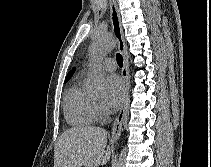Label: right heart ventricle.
Masks as SVG:
<instances>
[{"instance_id": "right-heart-ventricle-1", "label": "right heart ventricle", "mask_w": 211, "mask_h": 167, "mask_svg": "<svg viewBox=\"0 0 211 167\" xmlns=\"http://www.w3.org/2000/svg\"><path fill=\"white\" fill-rule=\"evenodd\" d=\"M64 113L69 123L78 126L90 125L96 120L97 112L92 94L82 85L78 75L66 92Z\"/></svg>"}]
</instances>
